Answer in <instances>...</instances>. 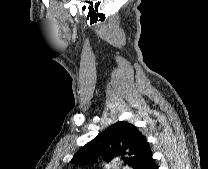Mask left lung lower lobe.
Wrapping results in <instances>:
<instances>
[{"label":"left lung lower lobe","mask_w":208,"mask_h":169,"mask_svg":"<svg viewBox=\"0 0 208 169\" xmlns=\"http://www.w3.org/2000/svg\"><path fill=\"white\" fill-rule=\"evenodd\" d=\"M138 169H158L150 149L145 153Z\"/></svg>","instance_id":"1"}]
</instances>
